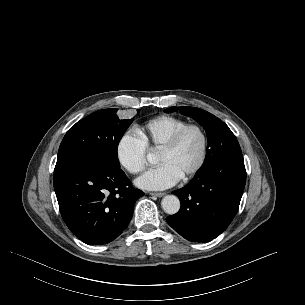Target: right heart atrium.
Instances as JSON below:
<instances>
[{
    "label": "right heart atrium",
    "mask_w": 305,
    "mask_h": 305,
    "mask_svg": "<svg viewBox=\"0 0 305 305\" xmlns=\"http://www.w3.org/2000/svg\"><path fill=\"white\" fill-rule=\"evenodd\" d=\"M147 154V146L134 131L125 132L117 142V160L131 174H138L145 169Z\"/></svg>",
    "instance_id": "1"
}]
</instances>
